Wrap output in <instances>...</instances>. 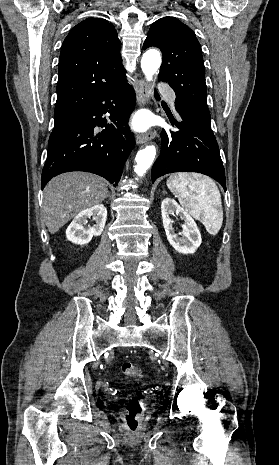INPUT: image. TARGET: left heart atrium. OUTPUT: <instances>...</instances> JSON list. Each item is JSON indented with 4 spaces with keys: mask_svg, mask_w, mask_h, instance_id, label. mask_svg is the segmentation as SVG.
Here are the masks:
<instances>
[{
    "mask_svg": "<svg viewBox=\"0 0 279 465\" xmlns=\"http://www.w3.org/2000/svg\"><path fill=\"white\" fill-rule=\"evenodd\" d=\"M149 124V119L145 115H138L133 121L136 130H145Z\"/></svg>",
    "mask_w": 279,
    "mask_h": 465,
    "instance_id": "1",
    "label": "left heart atrium"
}]
</instances>
